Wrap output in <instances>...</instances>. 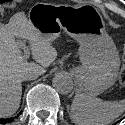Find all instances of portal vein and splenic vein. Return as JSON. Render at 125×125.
<instances>
[{
	"instance_id": "obj_1",
	"label": "portal vein and splenic vein",
	"mask_w": 125,
	"mask_h": 125,
	"mask_svg": "<svg viewBox=\"0 0 125 125\" xmlns=\"http://www.w3.org/2000/svg\"><path fill=\"white\" fill-rule=\"evenodd\" d=\"M20 46L22 47V49L24 50V59H27L30 55V50L29 48L23 43V42H20Z\"/></svg>"
}]
</instances>
